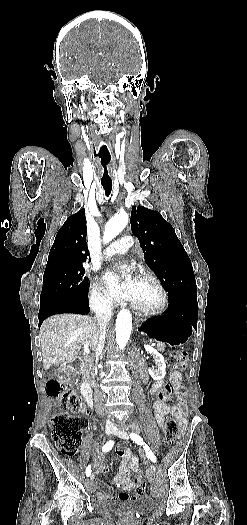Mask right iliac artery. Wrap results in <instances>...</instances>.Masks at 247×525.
I'll return each instance as SVG.
<instances>
[{
  "label": "right iliac artery",
  "instance_id": "82829eb1",
  "mask_svg": "<svg viewBox=\"0 0 247 525\" xmlns=\"http://www.w3.org/2000/svg\"><path fill=\"white\" fill-rule=\"evenodd\" d=\"M114 445V442L112 440L108 441L103 447H102V451L103 452H108L112 449ZM91 474V465H88L87 468H86V475L87 476H90Z\"/></svg>",
  "mask_w": 247,
  "mask_h": 525
}]
</instances>
